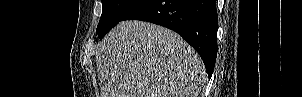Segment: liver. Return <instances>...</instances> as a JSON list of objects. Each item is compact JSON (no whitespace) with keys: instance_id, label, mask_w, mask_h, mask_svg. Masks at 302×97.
Returning a JSON list of instances; mask_svg holds the SVG:
<instances>
[{"instance_id":"6515ba94","label":"liver","mask_w":302,"mask_h":97,"mask_svg":"<svg viewBox=\"0 0 302 97\" xmlns=\"http://www.w3.org/2000/svg\"><path fill=\"white\" fill-rule=\"evenodd\" d=\"M101 97H198L203 61L177 33L143 21H122L96 53Z\"/></svg>"}]
</instances>
